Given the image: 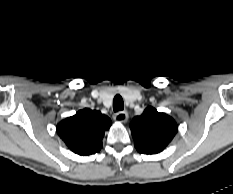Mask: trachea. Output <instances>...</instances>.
<instances>
[{
	"label": "trachea",
	"instance_id": "3493384b",
	"mask_svg": "<svg viewBox=\"0 0 233 194\" xmlns=\"http://www.w3.org/2000/svg\"><path fill=\"white\" fill-rule=\"evenodd\" d=\"M124 109V102L120 95H116L113 99V110L118 112Z\"/></svg>",
	"mask_w": 233,
	"mask_h": 194
}]
</instances>
